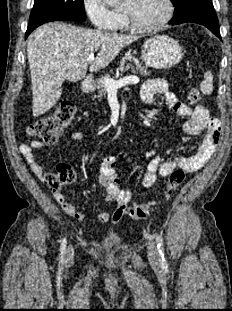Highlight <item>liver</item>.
<instances>
[{
  "mask_svg": "<svg viewBox=\"0 0 232 311\" xmlns=\"http://www.w3.org/2000/svg\"><path fill=\"white\" fill-rule=\"evenodd\" d=\"M137 39L136 36L78 29L62 23H48L35 30L27 45L34 117L55 105L61 97L65 79L76 82L86 76L89 54L99 49L90 65V71H98L108 66L123 47Z\"/></svg>",
  "mask_w": 232,
  "mask_h": 311,
  "instance_id": "1",
  "label": "liver"
}]
</instances>
